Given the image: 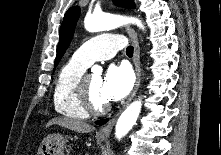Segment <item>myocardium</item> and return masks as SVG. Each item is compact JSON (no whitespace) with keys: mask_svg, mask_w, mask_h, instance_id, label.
I'll list each match as a JSON object with an SVG mask.
<instances>
[{"mask_svg":"<svg viewBox=\"0 0 221 155\" xmlns=\"http://www.w3.org/2000/svg\"><path fill=\"white\" fill-rule=\"evenodd\" d=\"M89 74H83L78 86H77V96L82 108L92 115H102L108 112L111 108L110 103L104 105H97L92 98L90 86H89Z\"/></svg>","mask_w":221,"mask_h":155,"instance_id":"obj_1","label":"myocardium"}]
</instances>
